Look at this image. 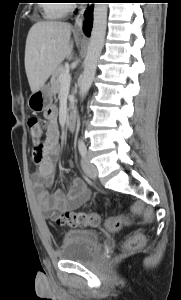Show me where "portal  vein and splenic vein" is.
Here are the masks:
<instances>
[{"instance_id": "obj_1", "label": "portal vein and splenic vein", "mask_w": 181, "mask_h": 300, "mask_svg": "<svg viewBox=\"0 0 181 300\" xmlns=\"http://www.w3.org/2000/svg\"><path fill=\"white\" fill-rule=\"evenodd\" d=\"M59 80L62 85L69 86L71 82V75L69 72L63 73L60 75Z\"/></svg>"}]
</instances>
